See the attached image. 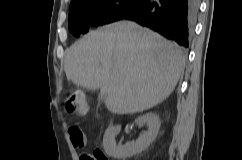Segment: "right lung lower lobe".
Segmentation results:
<instances>
[{"mask_svg": "<svg viewBox=\"0 0 242 160\" xmlns=\"http://www.w3.org/2000/svg\"><path fill=\"white\" fill-rule=\"evenodd\" d=\"M200 0H142L122 19L133 20L188 47Z\"/></svg>", "mask_w": 242, "mask_h": 160, "instance_id": "98d812e1", "label": "right lung lower lobe"}]
</instances>
